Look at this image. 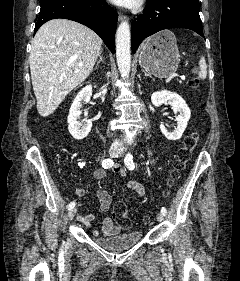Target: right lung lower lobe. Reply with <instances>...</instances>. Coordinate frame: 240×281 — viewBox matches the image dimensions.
<instances>
[{
	"label": "right lung lower lobe",
	"mask_w": 240,
	"mask_h": 281,
	"mask_svg": "<svg viewBox=\"0 0 240 281\" xmlns=\"http://www.w3.org/2000/svg\"><path fill=\"white\" fill-rule=\"evenodd\" d=\"M34 34L45 22L64 18L94 30L112 53L115 52L117 12L105 0H41Z\"/></svg>",
	"instance_id": "98d812e1"
}]
</instances>
